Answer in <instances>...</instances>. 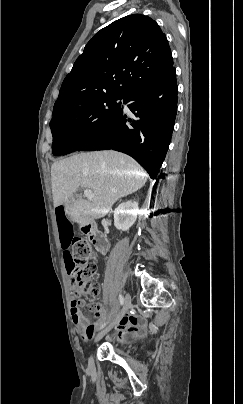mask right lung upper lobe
<instances>
[{
	"mask_svg": "<svg viewBox=\"0 0 243 404\" xmlns=\"http://www.w3.org/2000/svg\"><path fill=\"white\" fill-rule=\"evenodd\" d=\"M173 67L168 41L158 24L133 14L101 29L65 77L53 117L102 97L124 98Z\"/></svg>",
	"mask_w": 243,
	"mask_h": 404,
	"instance_id": "1",
	"label": "right lung upper lobe"
}]
</instances>
